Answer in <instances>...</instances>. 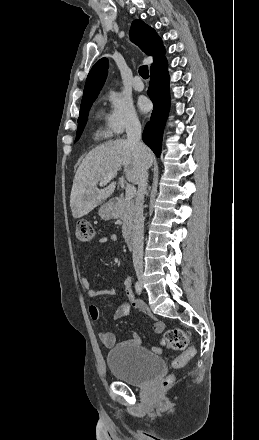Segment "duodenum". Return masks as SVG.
<instances>
[{"label": "duodenum", "instance_id": "1", "mask_svg": "<svg viewBox=\"0 0 259 440\" xmlns=\"http://www.w3.org/2000/svg\"><path fill=\"white\" fill-rule=\"evenodd\" d=\"M125 242H126L128 247H132V245H133V234H132V232L126 233V235H125Z\"/></svg>", "mask_w": 259, "mask_h": 440}]
</instances>
